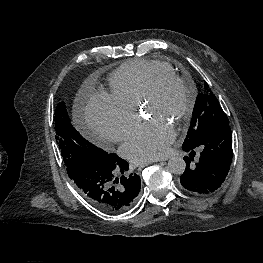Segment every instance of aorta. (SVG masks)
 I'll use <instances>...</instances> for the list:
<instances>
[{"label":"aorta","mask_w":263,"mask_h":263,"mask_svg":"<svg viewBox=\"0 0 263 263\" xmlns=\"http://www.w3.org/2000/svg\"><path fill=\"white\" fill-rule=\"evenodd\" d=\"M167 165L169 172L176 175L183 174L186 168L185 160L178 156L170 158Z\"/></svg>","instance_id":"1"}]
</instances>
